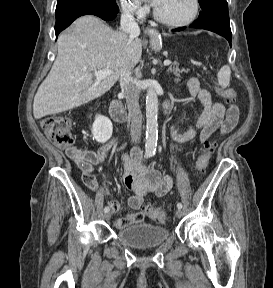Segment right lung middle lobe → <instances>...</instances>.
Wrapping results in <instances>:
<instances>
[{"label":"right lung middle lobe","mask_w":273,"mask_h":288,"mask_svg":"<svg viewBox=\"0 0 273 288\" xmlns=\"http://www.w3.org/2000/svg\"><path fill=\"white\" fill-rule=\"evenodd\" d=\"M78 9H95L106 13H118L116 0H57L55 14Z\"/></svg>","instance_id":"dd1d6c3e"}]
</instances>
